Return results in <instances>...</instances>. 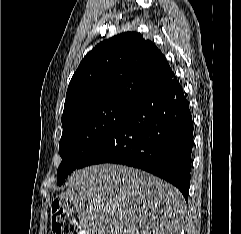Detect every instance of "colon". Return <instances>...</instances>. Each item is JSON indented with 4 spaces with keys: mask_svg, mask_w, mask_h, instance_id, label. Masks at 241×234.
<instances>
[{
    "mask_svg": "<svg viewBox=\"0 0 241 234\" xmlns=\"http://www.w3.org/2000/svg\"><path fill=\"white\" fill-rule=\"evenodd\" d=\"M50 217L55 234H82L72 214L62 208L58 201L53 202Z\"/></svg>",
    "mask_w": 241,
    "mask_h": 234,
    "instance_id": "colon-1",
    "label": "colon"
}]
</instances>
